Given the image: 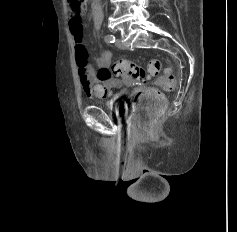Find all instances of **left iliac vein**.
Returning <instances> with one entry per match:
<instances>
[{"mask_svg":"<svg viewBox=\"0 0 237 232\" xmlns=\"http://www.w3.org/2000/svg\"><path fill=\"white\" fill-rule=\"evenodd\" d=\"M115 45H116V47L119 48V49H125V45L122 43L121 39H117V40L115 41Z\"/></svg>","mask_w":237,"mask_h":232,"instance_id":"obj_1","label":"left iliac vein"}]
</instances>
